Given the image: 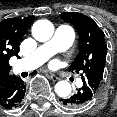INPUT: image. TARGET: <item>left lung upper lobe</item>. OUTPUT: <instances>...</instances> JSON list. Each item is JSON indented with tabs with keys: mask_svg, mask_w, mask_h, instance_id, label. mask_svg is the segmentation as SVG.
<instances>
[{
	"mask_svg": "<svg viewBox=\"0 0 117 117\" xmlns=\"http://www.w3.org/2000/svg\"><path fill=\"white\" fill-rule=\"evenodd\" d=\"M72 24L79 34V54L70 70L81 72L83 84L97 93L103 79L107 45L104 33L95 21L78 12H65L60 15Z\"/></svg>",
	"mask_w": 117,
	"mask_h": 117,
	"instance_id": "obj_1",
	"label": "left lung upper lobe"
}]
</instances>
